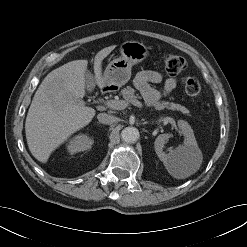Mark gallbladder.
<instances>
[{
  "instance_id": "gallbladder-1",
  "label": "gallbladder",
  "mask_w": 247,
  "mask_h": 247,
  "mask_svg": "<svg viewBox=\"0 0 247 247\" xmlns=\"http://www.w3.org/2000/svg\"><path fill=\"white\" fill-rule=\"evenodd\" d=\"M85 79H86L87 88L91 89L94 85V81L92 75L89 72H86Z\"/></svg>"
}]
</instances>
